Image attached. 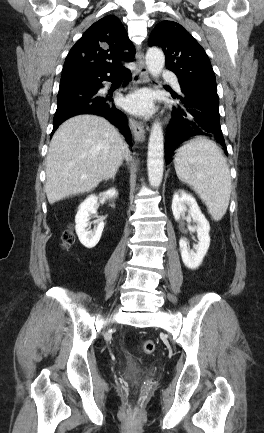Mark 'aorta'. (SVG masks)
<instances>
[{"mask_svg": "<svg viewBox=\"0 0 264 433\" xmlns=\"http://www.w3.org/2000/svg\"><path fill=\"white\" fill-rule=\"evenodd\" d=\"M165 56L162 50L152 47L146 53V65L153 77H158L163 70ZM149 183L153 188L160 186L164 170V136L161 124L153 123L148 143L147 158Z\"/></svg>", "mask_w": 264, "mask_h": 433, "instance_id": "762f6f07", "label": "aorta"}]
</instances>
